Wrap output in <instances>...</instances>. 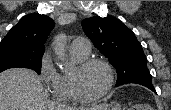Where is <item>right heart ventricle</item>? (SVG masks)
<instances>
[{
  "instance_id": "e07e8e85",
  "label": "right heart ventricle",
  "mask_w": 171,
  "mask_h": 110,
  "mask_svg": "<svg viewBox=\"0 0 171 110\" xmlns=\"http://www.w3.org/2000/svg\"><path fill=\"white\" fill-rule=\"evenodd\" d=\"M71 56L74 62L80 63L87 58V55H82L78 52L71 50ZM53 97L61 102H74L76 101L73 96L70 86V75L61 74L59 75L57 83L51 90Z\"/></svg>"
}]
</instances>
